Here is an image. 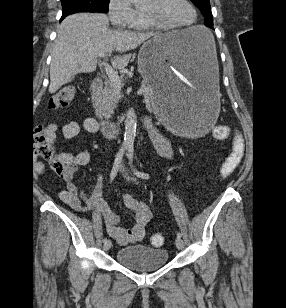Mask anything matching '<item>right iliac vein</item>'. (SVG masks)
<instances>
[{
  "instance_id": "right-iliac-vein-1",
  "label": "right iliac vein",
  "mask_w": 286,
  "mask_h": 308,
  "mask_svg": "<svg viewBox=\"0 0 286 308\" xmlns=\"http://www.w3.org/2000/svg\"><path fill=\"white\" fill-rule=\"evenodd\" d=\"M111 245H112L111 241L107 240L103 245L104 250L105 251L109 250L111 248Z\"/></svg>"
}]
</instances>
